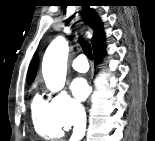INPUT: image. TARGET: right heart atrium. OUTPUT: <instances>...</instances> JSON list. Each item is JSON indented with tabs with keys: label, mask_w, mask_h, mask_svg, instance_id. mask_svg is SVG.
Returning a JSON list of instances; mask_svg holds the SVG:
<instances>
[{
	"label": "right heart atrium",
	"mask_w": 155,
	"mask_h": 141,
	"mask_svg": "<svg viewBox=\"0 0 155 141\" xmlns=\"http://www.w3.org/2000/svg\"><path fill=\"white\" fill-rule=\"evenodd\" d=\"M50 104L55 119L63 129L81 123L85 117L83 107L64 92L52 96Z\"/></svg>",
	"instance_id": "right-heart-atrium-1"
}]
</instances>
